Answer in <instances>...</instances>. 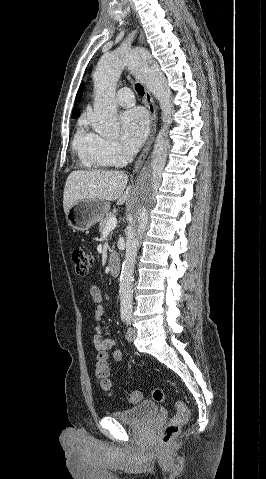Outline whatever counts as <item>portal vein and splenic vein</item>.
I'll return each instance as SVG.
<instances>
[{
  "label": "portal vein and splenic vein",
  "instance_id": "1",
  "mask_svg": "<svg viewBox=\"0 0 266 479\" xmlns=\"http://www.w3.org/2000/svg\"><path fill=\"white\" fill-rule=\"evenodd\" d=\"M116 224H117V219H116V217H113V218L109 219V220L107 221V224H106V226H105V228H104L103 231H104V232H109V231L113 230V229L116 227Z\"/></svg>",
  "mask_w": 266,
  "mask_h": 479
}]
</instances>
